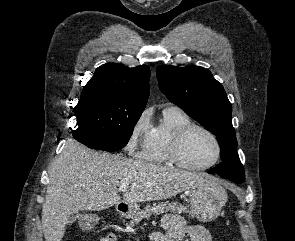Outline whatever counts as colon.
Listing matches in <instances>:
<instances>
[{
    "mask_svg": "<svg viewBox=\"0 0 295 241\" xmlns=\"http://www.w3.org/2000/svg\"><path fill=\"white\" fill-rule=\"evenodd\" d=\"M86 222H87L88 227H91V226L95 225V220L93 219V217L87 218Z\"/></svg>",
    "mask_w": 295,
    "mask_h": 241,
    "instance_id": "1",
    "label": "colon"
}]
</instances>
